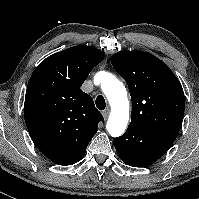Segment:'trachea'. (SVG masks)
I'll return each instance as SVG.
<instances>
[{
    "instance_id": "1",
    "label": "trachea",
    "mask_w": 199,
    "mask_h": 199,
    "mask_svg": "<svg viewBox=\"0 0 199 199\" xmlns=\"http://www.w3.org/2000/svg\"><path fill=\"white\" fill-rule=\"evenodd\" d=\"M96 107L99 109V110H104L105 107H106V102H105V99L102 95H99L97 98H96Z\"/></svg>"
}]
</instances>
